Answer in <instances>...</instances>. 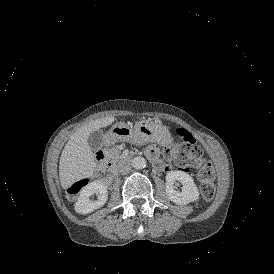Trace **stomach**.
I'll return each mask as SVG.
<instances>
[{"mask_svg":"<svg viewBox=\"0 0 274 274\" xmlns=\"http://www.w3.org/2000/svg\"><path fill=\"white\" fill-rule=\"evenodd\" d=\"M107 143L113 142H158L164 146L171 143L170 135L167 129L159 123L143 119L137 122L134 127L124 123L113 125L106 133Z\"/></svg>","mask_w":274,"mask_h":274,"instance_id":"stomach-1","label":"stomach"}]
</instances>
